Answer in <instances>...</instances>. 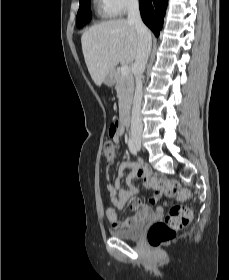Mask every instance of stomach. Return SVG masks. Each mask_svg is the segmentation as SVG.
<instances>
[{"label":"stomach","mask_w":229,"mask_h":280,"mask_svg":"<svg viewBox=\"0 0 229 280\" xmlns=\"http://www.w3.org/2000/svg\"><path fill=\"white\" fill-rule=\"evenodd\" d=\"M103 82L106 86L112 87L116 83L115 71L108 73Z\"/></svg>","instance_id":"stomach-1"}]
</instances>
